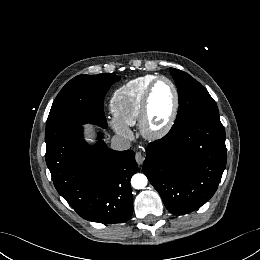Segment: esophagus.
I'll return each instance as SVG.
<instances>
[{
	"instance_id": "1",
	"label": "esophagus",
	"mask_w": 260,
	"mask_h": 260,
	"mask_svg": "<svg viewBox=\"0 0 260 260\" xmlns=\"http://www.w3.org/2000/svg\"><path fill=\"white\" fill-rule=\"evenodd\" d=\"M135 160L138 163V165H142L144 162V155L141 152H137L135 155Z\"/></svg>"
}]
</instances>
